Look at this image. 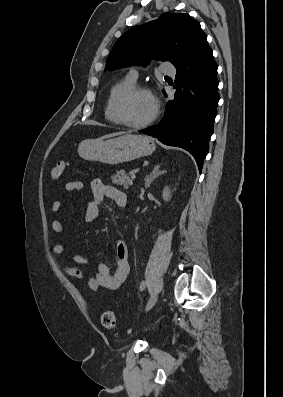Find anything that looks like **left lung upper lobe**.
I'll use <instances>...</instances> for the list:
<instances>
[{
  "instance_id": "left-lung-upper-lobe-1",
  "label": "left lung upper lobe",
  "mask_w": 283,
  "mask_h": 397,
  "mask_svg": "<svg viewBox=\"0 0 283 397\" xmlns=\"http://www.w3.org/2000/svg\"><path fill=\"white\" fill-rule=\"evenodd\" d=\"M206 44L207 36L198 21L188 14L164 13L125 32L114 44L105 71L135 64L146 66L150 59L169 61L178 67Z\"/></svg>"
}]
</instances>
